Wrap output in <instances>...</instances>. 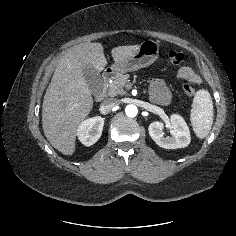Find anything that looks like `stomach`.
I'll list each match as a JSON object with an SVG mask.
<instances>
[{"label":"stomach","instance_id":"1","mask_svg":"<svg viewBox=\"0 0 236 236\" xmlns=\"http://www.w3.org/2000/svg\"><path fill=\"white\" fill-rule=\"evenodd\" d=\"M159 54V45L153 40H146L141 43L137 52L131 57L115 62L112 66V72L115 75L124 74L126 72L136 71L153 64Z\"/></svg>","mask_w":236,"mask_h":236}]
</instances>
